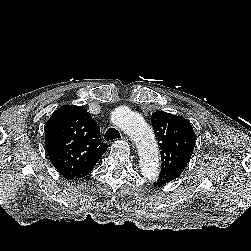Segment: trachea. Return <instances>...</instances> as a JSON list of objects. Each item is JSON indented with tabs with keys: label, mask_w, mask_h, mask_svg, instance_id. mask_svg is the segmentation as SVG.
<instances>
[{
	"label": "trachea",
	"mask_w": 251,
	"mask_h": 251,
	"mask_svg": "<svg viewBox=\"0 0 251 251\" xmlns=\"http://www.w3.org/2000/svg\"><path fill=\"white\" fill-rule=\"evenodd\" d=\"M120 133L118 130H116L115 128H110L106 131L105 135H104V139L106 141H112L115 139L120 138Z\"/></svg>",
	"instance_id": "1"
}]
</instances>
